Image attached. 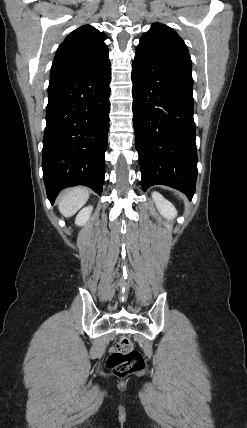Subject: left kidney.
<instances>
[{
    "label": "left kidney",
    "instance_id": "1",
    "mask_svg": "<svg viewBox=\"0 0 247 428\" xmlns=\"http://www.w3.org/2000/svg\"><path fill=\"white\" fill-rule=\"evenodd\" d=\"M152 198L155 201L156 207L160 214L168 220H172L177 215L176 208L172 205L171 202L166 200L161 194L158 192L152 193Z\"/></svg>",
    "mask_w": 247,
    "mask_h": 428
}]
</instances>
